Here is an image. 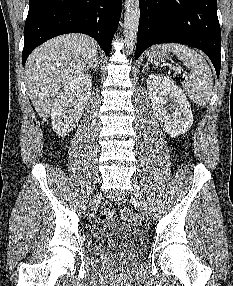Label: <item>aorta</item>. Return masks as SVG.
<instances>
[{
	"mask_svg": "<svg viewBox=\"0 0 233 286\" xmlns=\"http://www.w3.org/2000/svg\"><path fill=\"white\" fill-rule=\"evenodd\" d=\"M140 19L139 0L125 1L124 14V44L129 52H132L136 43Z\"/></svg>",
	"mask_w": 233,
	"mask_h": 286,
	"instance_id": "762f6f07",
	"label": "aorta"
}]
</instances>
